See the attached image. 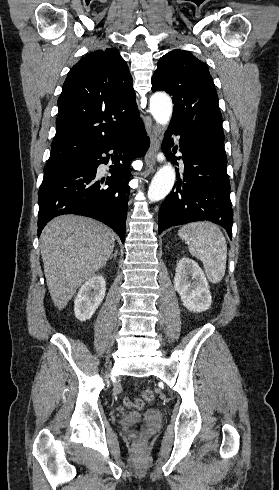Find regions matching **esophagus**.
<instances>
[{
  "instance_id": "esophagus-1",
  "label": "esophagus",
  "mask_w": 279,
  "mask_h": 490,
  "mask_svg": "<svg viewBox=\"0 0 279 490\" xmlns=\"http://www.w3.org/2000/svg\"><path fill=\"white\" fill-rule=\"evenodd\" d=\"M160 135L161 129L155 125L150 133V147L145 155V166L148 169H152L155 165L156 154L160 148Z\"/></svg>"
}]
</instances>
